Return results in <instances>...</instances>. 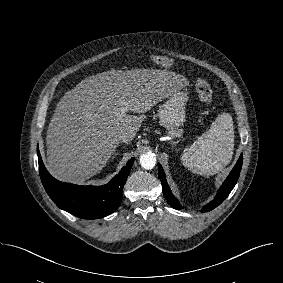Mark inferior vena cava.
Returning a JSON list of instances; mask_svg holds the SVG:
<instances>
[{
    "label": "inferior vena cava",
    "instance_id": "1",
    "mask_svg": "<svg viewBox=\"0 0 283 283\" xmlns=\"http://www.w3.org/2000/svg\"><path fill=\"white\" fill-rule=\"evenodd\" d=\"M114 141H115V143H119V142L128 143V138H127L126 135H117L114 138Z\"/></svg>",
    "mask_w": 283,
    "mask_h": 283
}]
</instances>
